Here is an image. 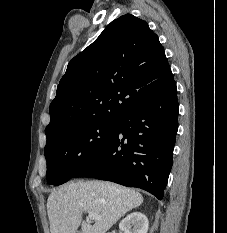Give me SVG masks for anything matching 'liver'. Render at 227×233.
I'll return each instance as SVG.
<instances>
[{
    "label": "liver",
    "instance_id": "obj_1",
    "mask_svg": "<svg viewBox=\"0 0 227 233\" xmlns=\"http://www.w3.org/2000/svg\"><path fill=\"white\" fill-rule=\"evenodd\" d=\"M142 195L111 182L77 181L54 190L47 200L51 233H106L128 211L140 206ZM83 212L101 217L91 225Z\"/></svg>",
    "mask_w": 227,
    "mask_h": 233
}]
</instances>
